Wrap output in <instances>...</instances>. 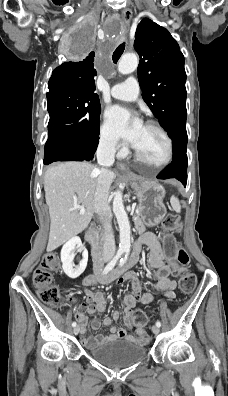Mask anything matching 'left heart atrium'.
<instances>
[{"label":"left heart atrium","instance_id":"39dd6f15","mask_svg":"<svg viewBox=\"0 0 228 396\" xmlns=\"http://www.w3.org/2000/svg\"><path fill=\"white\" fill-rule=\"evenodd\" d=\"M106 120L109 128L116 136L129 141L133 145L136 143L143 123L140 119L133 117L127 109L120 106L109 108L106 112Z\"/></svg>","mask_w":228,"mask_h":396}]
</instances>
